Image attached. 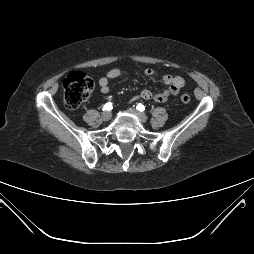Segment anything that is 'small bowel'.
<instances>
[{
    "instance_id": "c3829d8e",
    "label": "small bowel",
    "mask_w": 254,
    "mask_h": 254,
    "mask_svg": "<svg viewBox=\"0 0 254 254\" xmlns=\"http://www.w3.org/2000/svg\"><path fill=\"white\" fill-rule=\"evenodd\" d=\"M146 76H154L155 70L153 68H147L144 71ZM121 76V70L118 68L110 69L105 76L98 80L99 90L102 94H108L110 91V80L116 79ZM163 82L167 85V88L162 92L154 94L149 89H143L138 95L134 96L131 101L137 99L154 100L158 103H165L169 97L175 96L185 86V80L181 76L177 75H164Z\"/></svg>"
}]
</instances>
